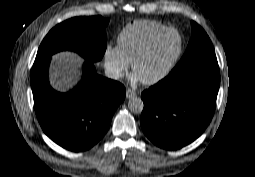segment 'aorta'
I'll list each match as a JSON object with an SVG mask.
<instances>
[{
    "label": "aorta",
    "mask_w": 255,
    "mask_h": 177,
    "mask_svg": "<svg viewBox=\"0 0 255 177\" xmlns=\"http://www.w3.org/2000/svg\"><path fill=\"white\" fill-rule=\"evenodd\" d=\"M144 108V103L139 97H131L128 101V109L136 114L142 113Z\"/></svg>",
    "instance_id": "obj_1"
}]
</instances>
